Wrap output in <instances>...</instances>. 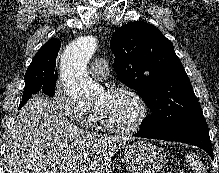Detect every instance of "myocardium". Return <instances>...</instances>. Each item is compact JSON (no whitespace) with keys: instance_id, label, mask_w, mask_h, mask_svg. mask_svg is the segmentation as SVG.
I'll list each match as a JSON object with an SVG mask.
<instances>
[{"instance_id":"obj_1","label":"myocardium","mask_w":219,"mask_h":173,"mask_svg":"<svg viewBox=\"0 0 219 173\" xmlns=\"http://www.w3.org/2000/svg\"><path fill=\"white\" fill-rule=\"evenodd\" d=\"M107 94H126L130 96L138 106V116L136 121L129 127H116L107 122L104 117L96 112L99 122L104 130L117 135H131L141 129L148 116V107L142 96L128 86H113L106 91Z\"/></svg>"}]
</instances>
